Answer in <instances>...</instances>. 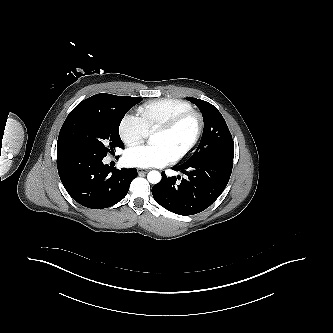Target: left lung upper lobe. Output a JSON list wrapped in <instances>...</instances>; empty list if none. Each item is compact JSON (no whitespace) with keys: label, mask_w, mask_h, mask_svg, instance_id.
I'll return each mask as SVG.
<instances>
[{"label":"left lung upper lobe","mask_w":333,"mask_h":333,"mask_svg":"<svg viewBox=\"0 0 333 333\" xmlns=\"http://www.w3.org/2000/svg\"><path fill=\"white\" fill-rule=\"evenodd\" d=\"M186 99L200 109L204 120V130L198 148L185 163L213 157L233 159V139L219 110L206 101L192 97Z\"/></svg>","instance_id":"obj_1"}]
</instances>
